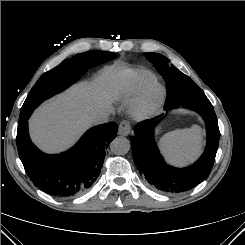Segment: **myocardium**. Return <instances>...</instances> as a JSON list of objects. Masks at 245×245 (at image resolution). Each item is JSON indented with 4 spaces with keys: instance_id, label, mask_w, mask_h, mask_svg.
Here are the masks:
<instances>
[{
    "instance_id": "f54148a6",
    "label": "myocardium",
    "mask_w": 245,
    "mask_h": 245,
    "mask_svg": "<svg viewBox=\"0 0 245 245\" xmlns=\"http://www.w3.org/2000/svg\"><path fill=\"white\" fill-rule=\"evenodd\" d=\"M166 92L162 85L152 83L145 88L139 98L131 106L130 112L136 119L142 120L153 116L163 106Z\"/></svg>"
}]
</instances>
